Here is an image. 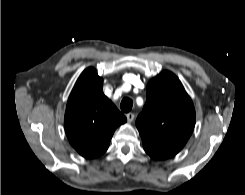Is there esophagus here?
<instances>
[{"instance_id": "1", "label": "esophagus", "mask_w": 245, "mask_h": 195, "mask_svg": "<svg viewBox=\"0 0 245 195\" xmlns=\"http://www.w3.org/2000/svg\"><path fill=\"white\" fill-rule=\"evenodd\" d=\"M134 114L133 113H128L126 114V118L128 122H132L134 120Z\"/></svg>"}]
</instances>
